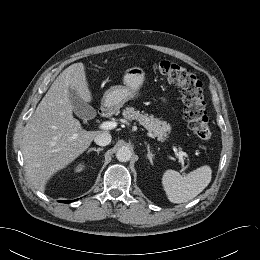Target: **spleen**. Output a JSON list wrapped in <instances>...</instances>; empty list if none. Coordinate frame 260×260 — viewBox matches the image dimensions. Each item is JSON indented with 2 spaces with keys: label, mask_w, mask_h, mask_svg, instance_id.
Listing matches in <instances>:
<instances>
[{
  "label": "spleen",
  "mask_w": 260,
  "mask_h": 260,
  "mask_svg": "<svg viewBox=\"0 0 260 260\" xmlns=\"http://www.w3.org/2000/svg\"><path fill=\"white\" fill-rule=\"evenodd\" d=\"M212 169L208 165L201 166L183 176L175 170H166L162 177V185L172 203H184L200 194L210 183Z\"/></svg>",
  "instance_id": "1"
}]
</instances>
